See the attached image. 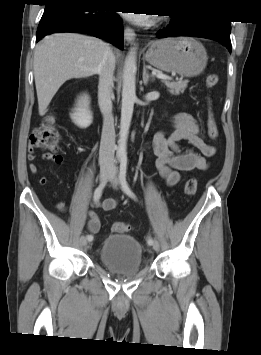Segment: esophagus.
Here are the masks:
<instances>
[{
  "label": "esophagus",
  "instance_id": "obj_1",
  "mask_svg": "<svg viewBox=\"0 0 261 355\" xmlns=\"http://www.w3.org/2000/svg\"><path fill=\"white\" fill-rule=\"evenodd\" d=\"M125 40L129 43H132L135 39V32L132 28L126 27L124 30Z\"/></svg>",
  "mask_w": 261,
  "mask_h": 355
}]
</instances>
